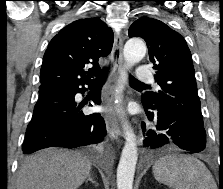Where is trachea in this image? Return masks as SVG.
Returning <instances> with one entry per match:
<instances>
[{
    "label": "trachea",
    "instance_id": "trachea-1",
    "mask_svg": "<svg viewBox=\"0 0 223 189\" xmlns=\"http://www.w3.org/2000/svg\"><path fill=\"white\" fill-rule=\"evenodd\" d=\"M106 72H107V71H105L104 73L102 72V73H100V74L97 76V79H96L97 82H104V81H105V78H106V75H107ZM130 82H131L132 84L145 85L144 83L138 81V80H137L135 77H133V76L130 77Z\"/></svg>",
    "mask_w": 223,
    "mask_h": 189
}]
</instances>
